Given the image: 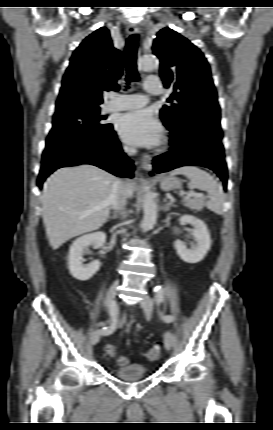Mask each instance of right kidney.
<instances>
[{"label": "right kidney", "instance_id": "ca27d5eb", "mask_svg": "<svg viewBox=\"0 0 273 430\" xmlns=\"http://www.w3.org/2000/svg\"><path fill=\"white\" fill-rule=\"evenodd\" d=\"M106 241L104 232L98 231L91 234L84 235L77 238L70 246L68 255V268L70 274L77 280L86 281L92 278L99 270L101 263L99 261H92L91 263L83 264V255L87 252V247L95 245L97 247L103 246Z\"/></svg>", "mask_w": 273, "mask_h": 430}]
</instances>
